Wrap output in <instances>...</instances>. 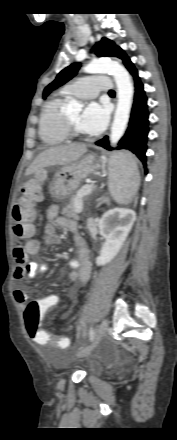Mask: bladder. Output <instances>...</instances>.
<instances>
[{"label":"bladder","instance_id":"bladder-1","mask_svg":"<svg viewBox=\"0 0 177 440\" xmlns=\"http://www.w3.org/2000/svg\"><path fill=\"white\" fill-rule=\"evenodd\" d=\"M85 369L90 375H99L101 373L102 366L98 359L90 358L85 362Z\"/></svg>","mask_w":177,"mask_h":440}]
</instances>
